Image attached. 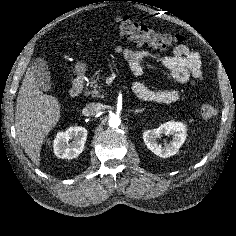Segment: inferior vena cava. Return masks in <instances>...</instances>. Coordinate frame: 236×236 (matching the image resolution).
Returning <instances> with one entry per match:
<instances>
[{"label":"inferior vena cava","instance_id":"inferior-vena-cava-1","mask_svg":"<svg viewBox=\"0 0 236 236\" xmlns=\"http://www.w3.org/2000/svg\"><path fill=\"white\" fill-rule=\"evenodd\" d=\"M102 109L103 105L101 103L92 102L86 105V107L83 109V114L86 116L94 115L102 111Z\"/></svg>","mask_w":236,"mask_h":236}]
</instances>
